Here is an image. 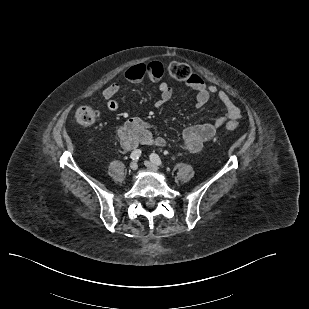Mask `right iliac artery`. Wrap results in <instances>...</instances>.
Masks as SVG:
<instances>
[{
	"label": "right iliac artery",
	"instance_id": "right-iliac-artery-1",
	"mask_svg": "<svg viewBox=\"0 0 309 309\" xmlns=\"http://www.w3.org/2000/svg\"><path fill=\"white\" fill-rule=\"evenodd\" d=\"M140 156H141V150H140V149H136V150H134V151L131 153L130 158H131L132 160H137V159H139Z\"/></svg>",
	"mask_w": 309,
	"mask_h": 309
}]
</instances>
